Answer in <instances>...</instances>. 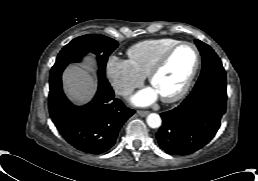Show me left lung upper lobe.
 <instances>
[{
  "label": "left lung upper lobe",
  "mask_w": 258,
  "mask_h": 181,
  "mask_svg": "<svg viewBox=\"0 0 258 181\" xmlns=\"http://www.w3.org/2000/svg\"><path fill=\"white\" fill-rule=\"evenodd\" d=\"M195 43L202 55V72L195 87L200 86L209 80L226 81L225 70L214 50L209 45L200 40H195Z\"/></svg>",
  "instance_id": "obj_1"
}]
</instances>
